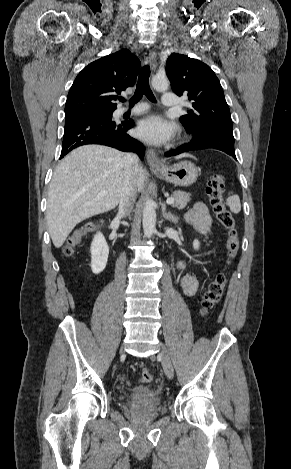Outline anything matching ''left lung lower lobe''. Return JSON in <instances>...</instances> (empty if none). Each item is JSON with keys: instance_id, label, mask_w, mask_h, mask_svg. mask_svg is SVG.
<instances>
[{"instance_id": "obj_1", "label": "left lung lower lobe", "mask_w": 291, "mask_h": 469, "mask_svg": "<svg viewBox=\"0 0 291 469\" xmlns=\"http://www.w3.org/2000/svg\"><path fill=\"white\" fill-rule=\"evenodd\" d=\"M206 148L221 150L236 159L233 133L224 130H207L193 135V138L189 144L166 152L165 156L170 157L181 154L183 152Z\"/></svg>"}]
</instances>
